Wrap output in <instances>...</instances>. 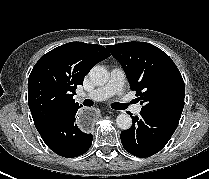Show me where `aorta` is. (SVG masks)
<instances>
[{"label":"aorta","mask_w":209,"mask_h":179,"mask_svg":"<svg viewBox=\"0 0 209 179\" xmlns=\"http://www.w3.org/2000/svg\"><path fill=\"white\" fill-rule=\"evenodd\" d=\"M89 78L95 85L101 86L108 82L109 72L103 66H94L89 72ZM117 126L127 130L132 126V118L126 113L119 114L116 118Z\"/></svg>","instance_id":"762f6f07"}]
</instances>
